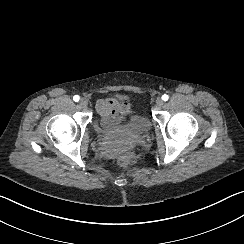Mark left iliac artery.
Here are the masks:
<instances>
[{
    "mask_svg": "<svg viewBox=\"0 0 244 244\" xmlns=\"http://www.w3.org/2000/svg\"><path fill=\"white\" fill-rule=\"evenodd\" d=\"M168 98H169V96H168V95H166V94H164V95L162 96V100H164V101H167V100H168Z\"/></svg>",
    "mask_w": 244,
    "mask_h": 244,
    "instance_id": "44dca946",
    "label": "left iliac artery"
}]
</instances>
